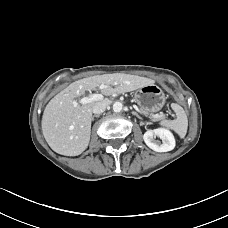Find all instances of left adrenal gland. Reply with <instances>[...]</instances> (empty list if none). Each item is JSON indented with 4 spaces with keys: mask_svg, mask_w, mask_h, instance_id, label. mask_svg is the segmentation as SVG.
I'll use <instances>...</instances> for the list:
<instances>
[{
    "mask_svg": "<svg viewBox=\"0 0 228 228\" xmlns=\"http://www.w3.org/2000/svg\"><path fill=\"white\" fill-rule=\"evenodd\" d=\"M132 114L135 115V116H137L138 118H141V117L139 116V114H138L137 112H135V111H132Z\"/></svg>",
    "mask_w": 228,
    "mask_h": 228,
    "instance_id": "obj_1",
    "label": "left adrenal gland"
}]
</instances>
